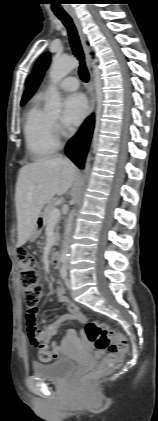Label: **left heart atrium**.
<instances>
[{"label": "left heart atrium", "mask_w": 158, "mask_h": 421, "mask_svg": "<svg viewBox=\"0 0 158 421\" xmlns=\"http://www.w3.org/2000/svg\"><path fill=\"white\" fill-rule=\"evenodd\" d=\"M87 109V100L82 94H70L64 100L62 122L68 127L79 125L86 115Z\"/></svg>", "instance_id": "left-heart-atrium-1"}]
</instances>
